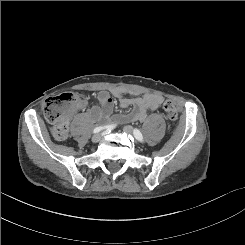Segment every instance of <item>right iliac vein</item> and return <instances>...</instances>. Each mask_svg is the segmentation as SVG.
<instances>
[{"label": "right iliac vein", "instance_id": "1", "mask_svg": "<svg viewBox=\"0 0 245 245\" xmlns=\"http://www.w3.org/2000/svg\"><path fill=\"white\" fill-rule=\"evenodd\" d=\"M100 139H101V134H95L92 137V142L97 143L100 141Z\"/></svg>", "mask_w": 245, "mask_h": 245}]
</instances>
